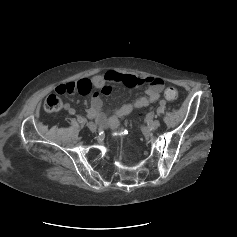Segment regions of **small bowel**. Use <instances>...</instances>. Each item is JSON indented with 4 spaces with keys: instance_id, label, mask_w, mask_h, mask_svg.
<instances>
[{
    "instance_id": "small-bowel-1",
    "label": "small bowel",
    "mask_w": 237,
    "mask_h": 237,
    "mask_svg": "<svg viewBox=\"0 0 237 237\" xmlns=\"http://www.w3.org/2000/svg\"><path fill=\"white\" fill-rule=\"evenodd\" d=\"M112 83H122L128 87L147 85L146 96L141 97L133 103L124 104L117 109L110 117L104 118V122L112 129L118 127L120 121L130 114L134 109L142 108L157 101L164 88V82L158 77H137L131 74H122L116 71H108L104 75H96L92 78H82L78 81L60 84L55 88L57 94L79 93L82 95L91 94V103L88 115L92 118L102 115V100L100 95H109L112 92ZM65 109H70V104H64Z\"/></svg>"
}]
</instances>
